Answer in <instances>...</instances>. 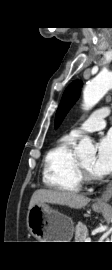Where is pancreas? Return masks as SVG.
Returning <instances> with one entry per match:
<instances>
[{"mask_svg": "<svg viewBox=\"0 0 112 270\" xmlns=\"http://www.w3.org/2000/svg\"><path fill=\"white\" fill-rule=\"evenodd\" d=\"M88 237V229L86 225L78 223L75 227V242H85Z\"/></svg>", "mask_w": 112, "mask_h": 270, "instance_id": "obj_1", "label": "pancreas"}]
</instances>
